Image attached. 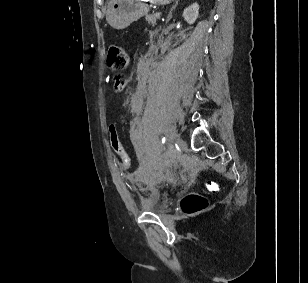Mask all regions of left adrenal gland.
Here are the masks:
<instances>
[{
    "label": "left adrenal gland",
    "mask_w": 308,
    "mask_h": 283,
    "mask_svg": "<svg viewBox=\"0 0 308 283\" xmlns=\"http://www.w3.org/2000/svg\"><path fill=\"white\" fill-rule=\"evenodd\" d=\"M178 4V0L175 1V4L173 5V7L170 9V12L168 14V17H167V22L172 18V12L173 10L175 9V7L177 6Z\"/></svg>",
    "instance_id": "1"
}]
</instances>
